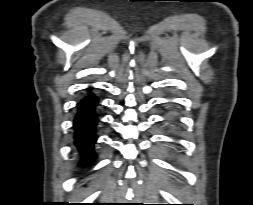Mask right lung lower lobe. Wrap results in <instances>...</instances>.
Segmentation results:
<instances>
[{
	"label": "right lung lower lobe",
	"mask_w": 253,
	"mask_h": 205,
	"mask_svg": "<svg viewBox=\"0 0 253 205\" xmlns=\"http://www.w3.org/2000/svg\"><path fill=\"white\" fill-rule=\"evenodd\" d=\"M97 103L98 99L89 94L77 105L78 112L74 119V139L84 163H89L96 157L94 143L97 136L94 131L98 121L95 112Z\"/></svg>",
	"instance_id": "obj_1"
}]
</instances>
